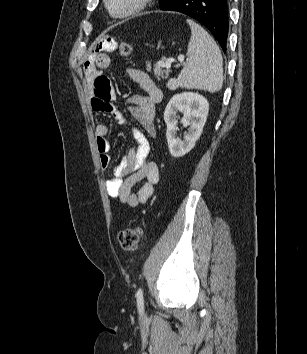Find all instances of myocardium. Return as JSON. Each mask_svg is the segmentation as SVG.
<instances>
[{
	"label": "myocardium",
	"instance_id": "1",
	"mask_svg": "<svg viewBox=\"0 0 307 354\" xmlns=\"http://www.w3.org/2000/svg\"><path fill=\"white\" fill-rule=\"evenodd\" d=\"M104 1L106 10L111 17L115 19H125L145 9L151 3L152 0H134L133 3L122 12L113 11L111 7V0Z\"/></svg>",
	"mask_w": 307,
	"mask_h": 354
}]
</instances>
